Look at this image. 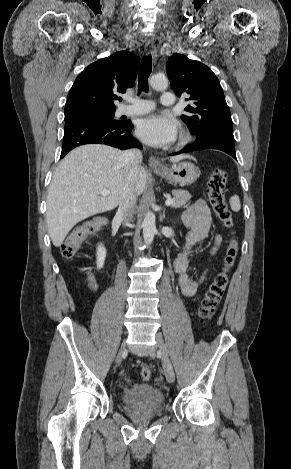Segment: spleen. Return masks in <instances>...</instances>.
Wrapping results in <instances>:
<instances>
[{
	"mask_svg": "<svg viewBox=\"0 0 291 469\" xmlns=\"http://www.w3.org/2000/svg\"><path fill=\"white\" fill-rule=\"evenodd\" d=\"M231 209L235 212H238L241 208L240 199L237 195L232 196L229 200Z\"/></svg>",
	"mask_w": 291,
	"mask_h": 469,
	"instance_id": "1",
	"label": "spleen"
}]
</instances>
